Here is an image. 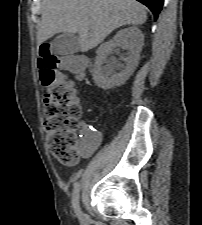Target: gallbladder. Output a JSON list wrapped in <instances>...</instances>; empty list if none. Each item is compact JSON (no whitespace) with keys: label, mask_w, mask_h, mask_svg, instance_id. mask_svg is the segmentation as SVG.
I'll return each instance as SVG.
<instances>
[{"label":"gallbladder","mask_w":202,"mask_h":225,"mask_svg":"<svg viewBox=\"0 0 202 225\" xmlns=\"http://www.w3.org/2000/svg\"><path fill=\"white\" fill-rule=\"evenodd\" d=\"M79 50V38L72 33H63L56 36L50 46L51 53L58 56L75 54Z\"/></svg>","instance_id":"1"}]
</instances>
